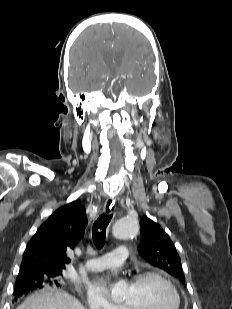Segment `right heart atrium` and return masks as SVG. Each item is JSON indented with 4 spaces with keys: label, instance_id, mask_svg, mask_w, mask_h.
I'll use <instances>...</instances> for the list:
<instances>
[{
    "label": "right heart atrium",
    "instance_id": "right-heart-atrium-1",
    "mask_svg": "<svg viewBox=\"0 0 232 309\" xmlns=\"http://www.w3.org/2000/svg\"><path fill=\"white\" fill-rule=\"evenodd\" d=\"M88 306L91 309H122L112 303L107 297L96 288H91L87 298Z\"/></svg>",
    "mask_w": 232,
    "mask_h": 309
}]
</instances>
